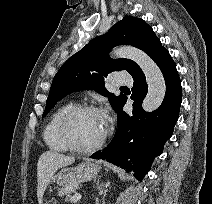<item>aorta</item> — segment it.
Listing matches in <instances>:
<instances>
[{
  "instance_id": "1",
  "label": "aorta",
  "mask_w": 212,
  "mask_h": 204,
  "mask_svg": "<svg viewBox=\"0 0 212 204\" xmlns=\"http://www.w3.org/2000/svg\"><path fill=\"white\" fill-rule=\"evenodd\" d=\"M113 58H129L136 62L146 77L148 92L143 100L142 108L146 112H153L160 107L166 93L164 76L157 64L143 51L121 46L111 52Z\"/></svg>"
}]
</instances>
